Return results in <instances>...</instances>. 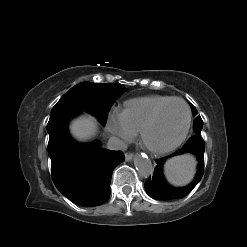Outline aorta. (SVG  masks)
<instances>
[{"label":"aorta","instance_id":"obj_1","mask_svg":"<svg viewBox=\"0 0 247 247\" xmlns=\"http://www.w3.org/2000/svg\"><path fill=\"white\" fill-rule=\"evenodd\" d=\"M134 165L141 177H148L153 174V165L147 156L137 155L134 159Z\"/></svg>","mask_w":247,"mask_h":247}]
</instances>
